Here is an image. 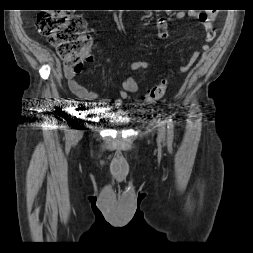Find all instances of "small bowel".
<instances>
[{
	"mask_svg": "<svg viewBox=\"0 0 253 253\" xmlns=\"http://www.w3.org/2000/svg\"><path fill=\"white\" fill-rule=\"evenodd\" d=\"M190 15L195 18L199 24L203 27L205 31V41L207 43L212 42L216 36L214 27H213V19H214V13L211 12H192ZM187 17V13L180 12L177 15V19L184 20ZM171 21V19H164L159 18L156 21V29H157V35L159 39L165 40L168 37V22ZM203 44L202 49L204 51H207L209 49L208 44ZM98 53H102L101 50H98ZM199 52H194L188 63L180 68L181 72H186L198 59ZM148 68V63L145 61H135L130 65V70L132 72L146 69ZM64 75L68 81L70 90L75 94L78 98L82 100H88V101H99L102 104H105L109 100L104 97L103 94L96 92V91H90L86 89L84 86H82L75 78L74 71L69 68L68 66L64 65ZM139 91L138 83L134 76L129 75L125 77V79L122 82V86L119 88V97L114 100L113 104L115 107H121L123 105L124 100L128 98V95L131 93H137Z\"/></svg>",
	"mask_w": 253,
	"mask_h": 253,
	"instance_id": "c3829d8e",
	"label": "small bowel"
}]
</instances>
